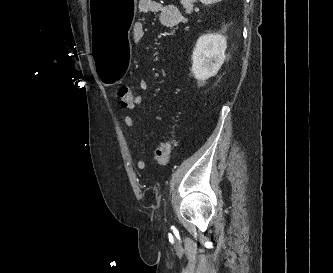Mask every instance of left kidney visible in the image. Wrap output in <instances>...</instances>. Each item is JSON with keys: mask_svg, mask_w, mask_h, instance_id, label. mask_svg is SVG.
<instances>
[{"mask_svg": "<svg viewBox=\"0 0 333 273\" xmlns=\"http://www.w3.org/2000/svg\"><path fill=\"white\" fill-rule=\"evenodd\" d=\"M226 38L221 34L199 37L193 49L191 71L199 81L216 75L225 60Z\"/></svg>", "mask_w": 333, "mask_h": 273, "instance_id": "left-kidney-1", "label": "left kidney"}]
</instances>
